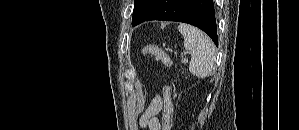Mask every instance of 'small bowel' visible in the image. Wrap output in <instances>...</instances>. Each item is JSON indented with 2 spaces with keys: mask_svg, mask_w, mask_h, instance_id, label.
Returning a JSON list of instances; mask_svg holds the SVG:
<instances>
[{
  "mask_svg": "<svg viewBox=\"0 0 299 130\" xmlns=\"http://www.w3.org/2000/svg\"><path fill=\"white\" fill-rule=\"evenodd\" d=\"M163 107V98L156 94L151 100L149 106L145 109L140 117L139 125L143 129L160 130L161 124L158 114Z\"/></svg>",
  "mask_w": 299,
  "mask_h": 130,
  "instance_id": "c3829d8e",
  "label": "small bowel"
}]
</instances>
